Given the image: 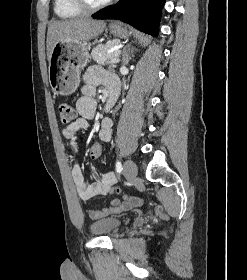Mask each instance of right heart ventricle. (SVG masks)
<instances>
[{"label": "right heart ventricle", "mask_w": 247, "mask_h": 280, "mask_svg": "<svg viewBox=\"0 0 247 280\" xmlns=\"http://www.w3.org/2000/svg\"><path fill=\"white\" fill-rule=\"evenodd\" d=\"M54 12L61 19H72L83 14L74 0H54Z\"/></svg>", "instance_id": "obj_1"}]
</instances>
